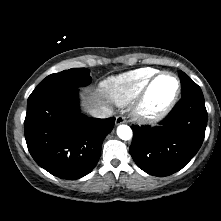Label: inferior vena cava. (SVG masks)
<instances>
[{"label":"inferior vena cava","instance_id":"obj_1","mask_svg":"<svg viewBox=\"0 0 221 221\" xmlns=\"http://www.w3.org/2000/svg\"><path fill=\"white\" fill-rule=\"evenodd\" d=\"M91 116L96 118H109L113 114V110L106 106H97L89 110Z\"/></svg>","mask_w":221,"mask_h":221}]
</instances>
